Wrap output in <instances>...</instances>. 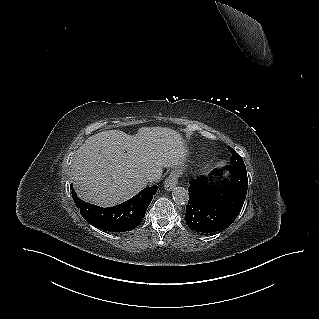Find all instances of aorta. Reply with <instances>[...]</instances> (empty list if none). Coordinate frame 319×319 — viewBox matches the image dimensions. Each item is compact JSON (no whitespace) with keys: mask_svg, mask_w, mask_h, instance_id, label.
Segmentation results:
<instances>
[{"mask_svg":"<svg viewBox=\"0 0 319 319\" xmlns=\"http://www.w3.org/2000/svg\"><path fill=\"white\" fill-rule=\"evenodd\" d=\"M172 196L174 201L179 205H184L188 202L189 193L184 187H175Z\"/></svg>","mask_w":319,"mask_h":319,"instance_id":"762f6f07","label":"aorta"}]
</instances>
